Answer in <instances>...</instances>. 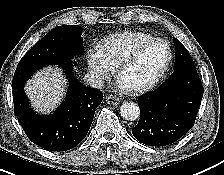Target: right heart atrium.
<instances>
[{
	"instance_id": "1",
	"label": "right heart atrium",
	"mask_w": 224,
	"mask_h": 175,
	"mask_svg": "<svg viewBox=\"0 0 224 175\" xmlns=\"http://www.w3.org/2000/svg\"><path fill=\"white\" fill-rule=\"evenodd\" d=\"M87 63L92 77L99 83L109 78L113 71V67L103 58L98 48L88 50Z\"/></svg>"
}]
</instances>
